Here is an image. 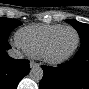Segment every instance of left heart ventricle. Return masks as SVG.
<instances>
[{"mask_svg": "<svg viewBox=\"0 0 89 89\" xmlns=\"http://www.w3.org/2000/svg\"><path fill=\"white\" fill-rule=\"evenodd\" d=\"M76 42V34L72 30H65L61 32L52 41L48 54L51 57H61L71 51Z\"/></svg>", "mask_w": 89, "mask_h": 89, "instance_id": "left-heart-ventricle-1", "label": "left heart ventricle"}]
</instances>
